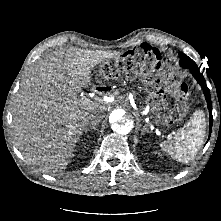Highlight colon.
<instances>
[{
  "instance_id": "colon-1",
  "label": "colon",
  "mask_w": 221,
  "mask_h": 221,
  "mask_svg": "<svg viewBox=\"0 0 221 221\" xmlns=\"http://www.w3.org/2000/svg\"><path fill=\"white\" fill-rule=\"evenodd\" d=\"M141 50H134L133 51V58L137 57V59L141 60V66H139V70L141 72H146L147 67L152 64L157 62V58L153 56L152 54L150 55L149 52L153 53L154 50L153 48L143 45L141 47ZM146 52V53H145ZM131 60V59H130ZM128 64H130L128 62ZM101 73L104 77L109 78V79H116L124 75H131L133 74V69L127 67V60H122L119 63L115 62H110L102 66L101 68ZM180 93V97L177 100V110H184L185 108V95L187 91V86L185 84H181L178 89Z\"/></svg>"
}]
</instances>
